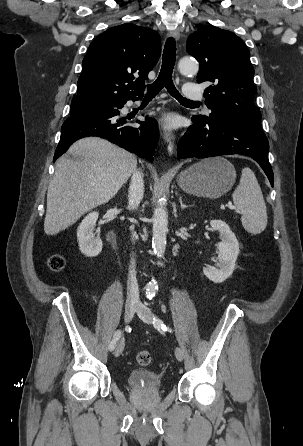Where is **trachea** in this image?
<instances>
[{"mask_svg":"<svg viewBox=\"0 0 303 446\" xmlns=\"http://www.w3.org/2000/svg\"><path fill=\"white\" fill-rule=\"evenodd\" d=\"M176 60V43L173 37L167 39L162 56L161 71L157 79L147 86V93L145 97H155L164 87L169 94L176 98L180 103H193L198 102L188 100L181 96L176 87L173 84L172 73Z\"/></svg>","mask_w":303,"mask_h":446,"instance_id":"1","label":"trachea"}]
</instances>
